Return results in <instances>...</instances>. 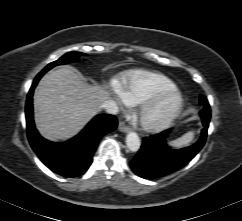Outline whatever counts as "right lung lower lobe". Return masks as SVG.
<instances>
[{"instance_id":"right-lung-lower-lobe-1","label":"right lung lower lobe","mask_w":242,"mask_h":221,"mask_svg":"<svg viewBox=\"0 0 242 221\" xmlns=\"http://www.w3.org/2000/svg\"><path fill=\"white\" fill-rule=\"evenodd\" d=\"M45 73L40 72L27 96L25 114L27 136L34 152L52 171L64 177L84 174L92 163L100 138L116 129L117 119L109 114L97 115L77 136L58 144L40 136L34 126L32 96L35 86Z\"/></svg>"}]
</instances>
